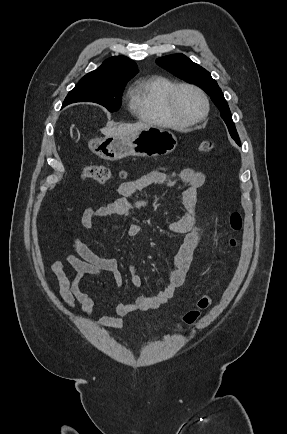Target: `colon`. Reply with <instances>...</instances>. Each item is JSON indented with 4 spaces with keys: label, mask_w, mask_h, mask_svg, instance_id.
<instances>
[{
    "label": "colon",
    "mask_w": 287,
    "mask_h": 434,
    "mask_svg": "<svg viewBox=\"0 0 287 434\" xmlns=\"http://www.w3.org/2000/svg\"><path fill=\"white\" fill-rule=\"evenodd\" d=\"M214 149V144L211 141H203L200 143L198 147V151L201 154H208L211 153ZM120 177H125V172L120 171L119 172ZM82 177L84 179H92L100 184H105L112 180L115 177V171L106 165H87L84 166L82 169ZM229 224L230 228L233 232L238 233L242 229L243 219L242 215L238 211H234L229 216ZM229 245L232 248L237 247L238 240L236 237H232L229 240ZM211 298L206 296L203 297L197 305V308L188 312L184 318L182 323H180L178 326L179 328H182L183 326H191L197 320L201 317L202 313L209 308L211 305Z\"/></svg>",
    "instance_id": "colon-1"
}]
</instances>
